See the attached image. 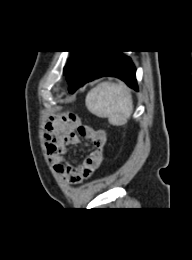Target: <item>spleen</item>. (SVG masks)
I'll list each match as a JSON object with an SVG mask.
<instances>
[{
    "mask_svg": "<svg viewBox=\"0 0 192 260\" xmlns=\"http://www.w3.org/2000/svg\"><path fill=\"white\" fill-rule=\"evenodd\" d=\"M87 109L100 118H108L114 126L125 125L133 112V100L129 88L122 82H102L88 92Z\"/></svg>",
    "mask_w": 192,
    "mask_h": 260,
    "instance_id": "3e777b00",
    "label": "spleen"
}]
</instances>
